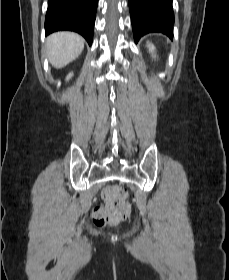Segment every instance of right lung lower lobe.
I'll return each mask as SVG.
<instances>
[{"mask_svg": "<svg viewBox=\"0 0 229 280\" xmlns=\"http://www.w3.org/2000/svg\"><path fill=\"white\" fill-rule=\"evenodd\" d=\"M98 0H48L46 35L60 30L75 31L92 44Z\"/></svg>", "mask_w": 229, "mask_h": 280, "instance_id": "obj_1", "label": "right lung lower lobe"}]
</instances>
